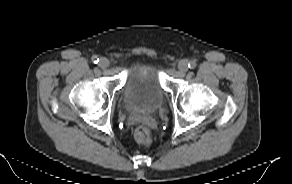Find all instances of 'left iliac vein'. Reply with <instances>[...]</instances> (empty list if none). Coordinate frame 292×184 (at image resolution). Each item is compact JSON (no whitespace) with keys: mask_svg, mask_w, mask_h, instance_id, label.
<instances>
[{"mask_svg":"<svg viewBox=\"0 0 292 184\" xmlns=\"http://www.w3.org/2000/svg\"><path fill=\"white\" fill-rule=\"evenodd\" d=\"M178 70L181 73H185L188 70V62H187V60L183 59V60H180L179 61V63H178Z\"/></svg>","mask_w":292,"mask_h":184,"instance_id":"left-iliac-vein-1","label":"left iliac vein"}]
</instances>
